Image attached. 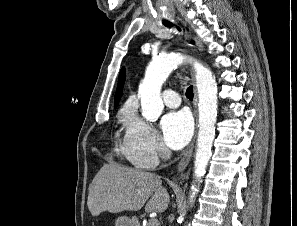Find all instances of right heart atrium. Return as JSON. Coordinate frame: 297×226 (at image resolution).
<instances>
[{
    "label": "right heart atrium",
    "mask_w": 297,
    "mask_h": 226,
    "mask_svg": "<svg viewBox=\"0 0 297 226\" xmlns=\"http://www.w3.org/2000/svg\"><path fill=\"white\" fill-rule=\"evenodd\" d=\"M125 124L121 151L131 163L139 168L153 169L168 157L169 151L149 122L130 112Z\"/></svg>",
    "instance_id": "d8ad5b80"
}]
</instances>
